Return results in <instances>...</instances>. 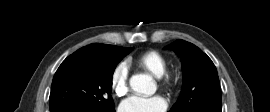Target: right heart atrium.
<instances>
[{"instance_id": "obj_1", "label": "right heart atrium", "mask_w": 270, "mask_h": 112, "mask_svg": "<svg viewBox=\"0 0 270 112\" xmlns=\"http://www.w3.org/2000/svg\"><path fill=\"white\" fill-rule=\"evenodd\" d=\"M129 69L126 63L117 64L110 75V87L116 97L124 96L128 91Z\"/></svg>"}]
</instances>
